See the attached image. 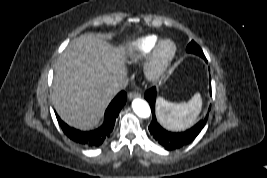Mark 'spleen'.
<instances>
[{"label": "spleen", "mask_w": 267, "mask_h": 178, "mask_svg": "<svg viewBox=\"0 0 267 178\" xmlns=\"http://www.w3.org/2000/svg\"><path fill=\"white\" fill-rule=\"evenodd\" d=\"M202 109V99L196 93L188 102L173 103L163 98L156 100V112L159 122L167 129L181 131L191 127Z\"/></svg>", "instance_id": "3e777b00"}]
</instances>
